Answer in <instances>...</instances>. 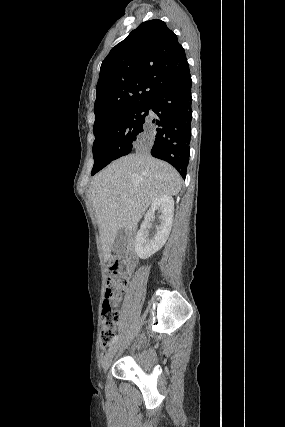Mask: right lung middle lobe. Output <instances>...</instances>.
<instances>
[{"label":"right lung middle lobe","instance_id":"dd1d6c3e","mask_svg":"<svg viewBox=\"0 0 285 427\" xmlns=\"http://www.w3.org/2000/svg\"><path fill=\"white\" fill-rule=\"evenodd\" d=\"M148 102L122 110L93 127L94 166L96 174L111 161L129 154L141 140L148 115Z\"/></svg>","mask_w":285,"mask_h":427}]
</instances>
